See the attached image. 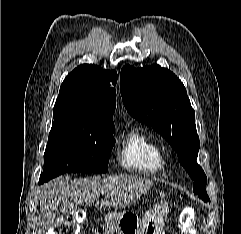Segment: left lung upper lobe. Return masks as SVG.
<instances>
[{
	"mask_svg": "<svg viewBox=\"0 0 241 234\" xmlns=\"http://www.w3.org/2000/svg\"><path fill=\"white\" fill-rule=\"evenodd\" d=\"M120 91L128 113L169 142L194 180L193 192L210 202L207 177L196 162L200 143L195 111L179 78L157 64L139 69L126 65L120 74Z\"/></svg>",
	"mask_w": 241,
	"mask_h": 234,
	"instance_id": "1",
	"label": "left lung upper lobe"
}]
</instances>
